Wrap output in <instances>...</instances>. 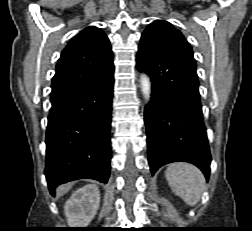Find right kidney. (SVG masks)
Wrapping results in <instances>:
<instances>
[{"label":"right kidney","mask_w":252,"mask_h":231,"mask_svg":"<svg viewBox=\"0 0 252 231\" xmlns=\"http://www.w3.org/2000/svg\"><path fill=\"white\" fill-rule=\"evenodd\" d=\"M100 205V192L95 184L77 189L64 206L68 225L85 228L94 218Z\"/></svg>","instance_id":"1"}]
</instances>
